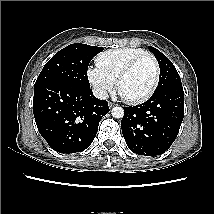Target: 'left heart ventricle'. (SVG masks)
<instances>
[{
	"instance_id": "left-heart-ventricle-1",
	"label": "left heart ventricle",
	"mask_w": 214,
	"mask_h": 214,
	"mask_svg": "<svg viewBox=\"0 0 214 214\" xmlns=\"http://www.w3.org/2000/svg\"><path fill=\"white\" fill-rule=\"evenodd\" d=\"M154 78V66L149 59H145L123 79L120 92L130 99L141 97L151 88Z\"/></svg>"
}]
</instances>
